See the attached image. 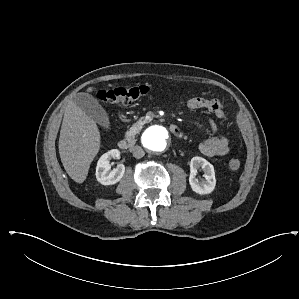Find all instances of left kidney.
Segmentation results:
<instances>
[{
  "label": "left kidney",
  "mask_w": 299,
  "mask_h": 299,
  "mask_svg": "<svg viewBox=\"0 0 299 299\" xmlns=\"http://www.w3.org/2000/svg\"><path fill=\"white\" fill-rule=\"evenodd\" d=\"M204 171L205 180L199 181L196 178L197 169ZM189 184L191 189L200 195L210 194L215 189L216 179L213 165L202 157H193L190 161Z\"/></svg>",
  "instance_id": "5707ae66"
}]
</instances>
